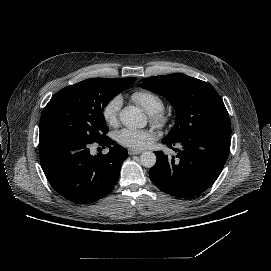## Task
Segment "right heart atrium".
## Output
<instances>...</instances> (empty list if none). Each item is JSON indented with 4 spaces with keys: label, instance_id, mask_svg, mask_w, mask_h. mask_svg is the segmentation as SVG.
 Instances as JSON below:
<instances>
[{
    "label": "right heart atrium",
    "instance_id": "1",
    "mask_svg": "<svg viewBox=\"0 0 271 271\" xmlns=\"http://www.w3.org/2000/svg\"><path fill=\"white\" fill-rule=\"evenodd\" d=\"M123 104V97L121 94H115L102 107L101 115L108 126H116L118 123V116Z\"/></svg>",
    "mask_w": 271,
    "mask_h": 271
}]
</instances>
